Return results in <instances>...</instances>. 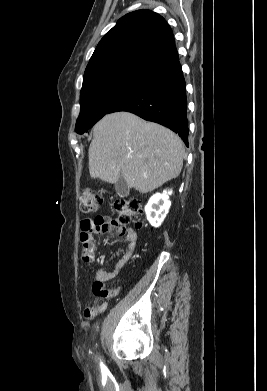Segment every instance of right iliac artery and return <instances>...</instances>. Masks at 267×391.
Wrapping results in <instances>:
<instances>
[{
    "label": "right iliac artery",
    "instance_id": "right-iliac-artery-1",
    "mask_svg": "<svg viewBox=\"0 0 267 391\" xmlns=\"http://www.w3.org/2000/svg\"><path fill=\"white\" fill-rule=\"evenodd\" d=\"M101 369L104 370L105 366L101 363Z\"/></svg>",
    "mask_w": 267,
    "mask_h": 391
}]
</instances>
